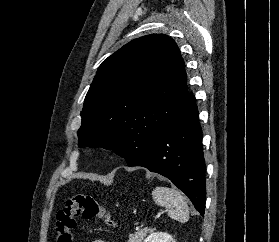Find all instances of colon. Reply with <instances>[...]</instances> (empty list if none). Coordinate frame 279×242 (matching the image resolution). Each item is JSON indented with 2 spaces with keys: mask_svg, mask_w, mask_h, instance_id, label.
<instances>
[{
  "mask_svg": "<svg viewBox=\"0 0 279 242\" xmlns=\"http://www.w3.org/2000/svg\"><path fill=\"white\" fill-rule=\"evenodd\" d=\"M101 219L109 226H115V221L109 211L100 205L93 196L76 194L64 201L63 207L56 216V242H73V230L77 219Z\"/></svg>",
  "mask_w": 279,
  "mask_h": 242,
  "instance_id": "1",
  "label": "colon"
}]
</instances>
